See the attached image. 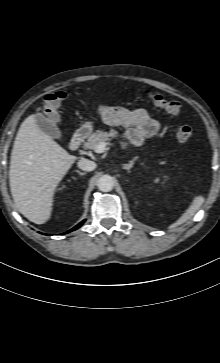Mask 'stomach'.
<instances>
[{
	"instance_id": "stomach-1",
	"label": "stomach",
	"mask_w": 220,
	"mask_h": 363,
	"mask_svg": "<svg viewBox=\"0 0 220 363\" xmlns=\"http://www.w3.org/2000/svg\"><path fill=\"white\" fill-rule=\"evenodd\" d=\"M83 127L87 128L88 130H92V122H85Z\"/></svg>"
}]
</instances>
